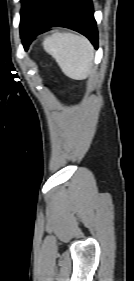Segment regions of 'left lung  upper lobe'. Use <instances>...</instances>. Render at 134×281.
Returning <instances> with one entry per match:
<instances>
[{
    "label": "left lung upper lobe",
    "mask_w": 134,
    "mask_h": 281,
    "mask_svg": "<svg viewBox=\"0 0 134 281\" xmlns=\"http://www.w3.org/2000/svg\"><path fill=\"white\" fill-rule=\"evenodd\" d=\"M41 0H21L22 8H21V21H20V31H22L27 24L29 18L34 12L35 8L39 4Z\"/></svg>",
    "instance_id": "1"
}]
</instances>
